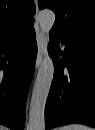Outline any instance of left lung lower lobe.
<instances>
[{"instance_id":"0a47b994","label":"left lung lower lobe","mask_w":95,"mask_h":130,"mask_svg":"<svg viewBox=\"0 0 95 130\" xmlns=\"http://www.w3.org/2000/svg\"><path fill=\"white\" fill-rule=\"evenodd\" d=\"M49 52L54 78L45 106L46 129L70 123L95 127V47L50 35Z\"/></svg>"}]
</instances>
